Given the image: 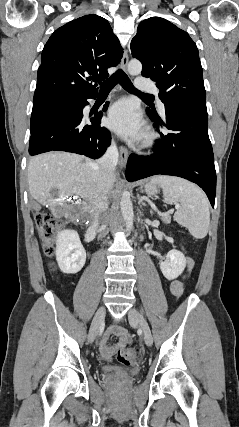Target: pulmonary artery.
<instances>
[{
	"instance_id": "e3ab8cb5",
	"label": "pulmonary artery",
	"mask_w": 239,
	"mask_h": 427,
	"mask_svg": "<svg viewBox=\"0 0 239 427\" xmlns=\"http://www.w3.org/2000/svg\"><path fill=\"white\" fill-rule=\"evenodd\" d=\"M136 88L141 91H146L150 93H157V87L153 82L147 81L142 77H138L136 80ZM159 107L164 111V104L159 101Z\"/></svg>"
}]
</instances>
